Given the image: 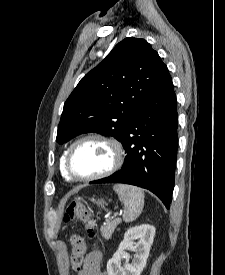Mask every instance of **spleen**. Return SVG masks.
Instances as JSON below:
<instances>
[{"label":"spleen","mask_w":225,"mask_h":275,"mask_svg":"<svg viewBox=\"0 0 225 275\" xmlns=\"http://www.w3.org/2000/svg\"><path fill=\"white\" fill-rule=\"evenodd\" d=\"M113 190L118 194L119 200L124 205L123 220L133 222L142 213L144 206V192L142 189L126 184H117Z\"/></svg>","instance_id":"3e777b00"}]
</instances>
